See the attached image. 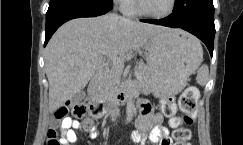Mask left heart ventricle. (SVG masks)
Wrapping results in <instances>:
<instances>
[{
  "instance_id": "left-heart-ventricle-1",
  "label": "left heart ventricle",
  "mask_w": 243,
  "mask_h": 145,
  "mask_svg": "<svg viewBox=\"0 0 243 145\" xmlns=\"http://www.w3.org/2000/svg\"><path fill=\"white\" fill-rule=\"evenodd\" d=\"M142 7L155 14H161L166 12L169 7L171 0H140Z\"/></svg>"
}]
</instances>
